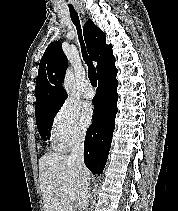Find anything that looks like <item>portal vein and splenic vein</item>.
Listing matches in <instances>:
<instances>
[{
  "label": "portal vein and splenic vein",
  "instance_id": "18ae733b",
  "mask_svg": "<svg viewBox=\"0 0 178 211\" xmlns=\"http://www.w3.org/2000/svg\"><path fill=\"white\" fill-rule=\"evenodd\" d=\"M64 192L68 194L70 200L75 201L76 200V195L74 193L68 192V189L66 187L63 188Z\"/></svg>",
  "mask_w": 178,
  "mask_h": 211
}]
</instances>
